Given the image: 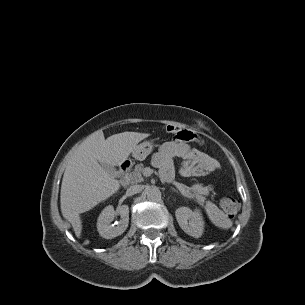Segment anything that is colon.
<instances>
[{
    "instance_id": "colon-1",
    "label": "colon",
    "mask_w": 305,
    "mask_h": 305,
    "mask_svg": "<svg viewBox=\"0 0 305 305\" xmlns=\"http://www.w3.org/2000/svg\"><path fill=\"white\" fill-rule=\"evenodd\" d=\"M166 132L174 134L176 138H184L185 131L175 125L166 126ZM220 208L228 217H233L239 209V201L233 197H224L220 200Z\"/></svg>"
}]
</instances>
